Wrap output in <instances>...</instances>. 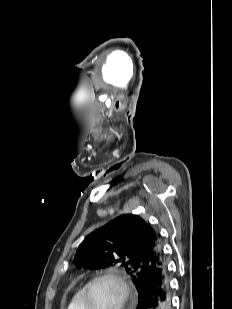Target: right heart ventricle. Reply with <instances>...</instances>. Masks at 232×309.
<instances>
[{"label":"right heart ventricle","instance_id":"1","mask_svg":"<svg viewBox=\"0 0 232 309\" xmlns=\"http://www.w3.org/2000/svg\"><path fill=\"white\" fill-rule=\"evenodd\" d=\"M83 287L79 288L72 296L67 309H83L82 305Z\"/></svg>","mask_w":232,"mask_h":309}]
</instances>
